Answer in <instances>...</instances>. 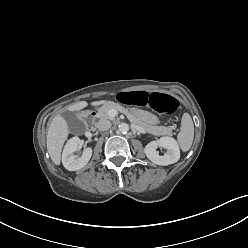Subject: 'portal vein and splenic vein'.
<instances>
[{"mask_svg": "<svg viewBox=\"0 0 248 248\" xmlns=\"http://www.w3.org/2000/svg\"><path fill=\"white\" fill-rule=\"evenodd\" d=\"M117 114H118L117 110H115V109L109 110V115H110L111 117H115Z\"/></svg>", "mask_w": 248, "mask_h": 248, "instance_id": "18ae733b", "label": "portal vein and splenic vein"}]
</instances>
